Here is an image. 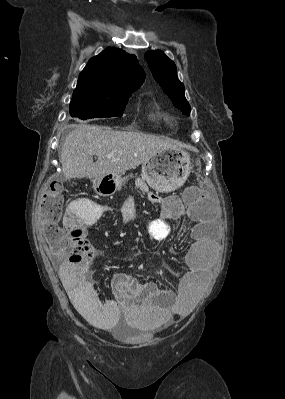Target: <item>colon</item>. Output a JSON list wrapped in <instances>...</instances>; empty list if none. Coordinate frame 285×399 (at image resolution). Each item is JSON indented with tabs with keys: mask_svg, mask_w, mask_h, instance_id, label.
Returning a JSON list of instances; mask_svg holds the SVG:
<instances>
[{
	"mask_svg": "<svg viewBox=\"0 0 285 399\" xmlns=\"http://www.w3.org/2000/svg\"><path fill=\"white\" fill-rule=\"evenodd\" d=\"M200 180L204 178L200 176ZM99 194L103 195L101 191ZM64 201V191L61 184L53 182L44 191L38 205V214L43 222V235L52 251L60 254L63 251L65 239L63 229L59 225L62 217V205Z\"/></svg>",
	"mask_w": 285,
	"mask_h": 399,
	"instance_id": "colon-1",
	"label": "colon"
}]
</instances>
